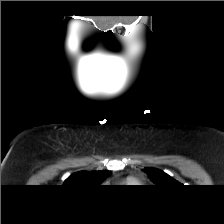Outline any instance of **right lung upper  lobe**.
I'll list each match as a JSON object with an SVG mask.
<instances>
[{"label": "right lung upper lobe", "mask_w": 224, "mask_h": 224, "mask_svg": "<svg viewBox=\"0 0 224 224\" xmlns=\"http://www.w3.org/2000/svg\"><path fill=\"white\" fill-rule=\"evenodd\" d=\"M111 171H80L72 174L64 182V185L81 188V187H93L100 185L109 175Z\"/></svg>", "instance_id": "right-lung-upper-lobe-1"}]
</instances>
